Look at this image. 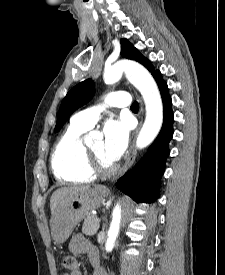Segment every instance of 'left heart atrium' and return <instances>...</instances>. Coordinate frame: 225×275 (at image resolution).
Wrapping results in <instances>:
<instances>
[{"mask_svg": "<svg viewBox=\"0 0 225 275\" xmlns=\"http://www.w3.org/2000/svg\"><path fill=\"white\" fill-rule=\"evenodd\" d=\"M104 134V154L111 162H116L124 153L128 138L129 125L124 119L109 120L103 128Z\"/></svg>", "mask_w": 225, "mask_h": 275, "instance_id": "39dd6f15", "label": "left heart atrium"}]
</instances>
